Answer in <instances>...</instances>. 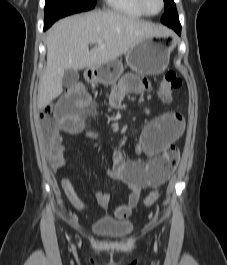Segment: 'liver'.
Segmentation results:
<instances>
[{
	"label": "liver",
	"instance_id": "liver-1",
	"mask_svg": "<svg viewBox=\"0 0 227 265\" xmlns=\"http://www.w3.org/2000/svg\"><path fill=\"white\" fill-rule=\"evenodd\" d=\"M166 35L168 31L161 26L117 11H94L59 20L47 32V65L39 83L38 108H45L63 92L66 70L103 65L144 38ZM91 43L96 46L90 51Z\"/></svg>",
	"mask_w": 227,
	"mask_h": 265
}]
</instances>
